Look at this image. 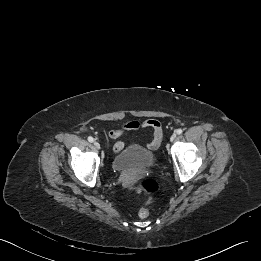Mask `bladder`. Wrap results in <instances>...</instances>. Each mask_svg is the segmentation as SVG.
<instances>
[{
    "label": "bladder",
    "mask_w": 261,
    "mask_h": 261,
    "mask_svg": "<svg viewBox=\"0 0 261 261\" xmlns=\"http://www.w3.org/2000/svg\"><path fill=\"white\" fill-rule=\"evenodd\" d=\"M154 153L139 144H131L120 150L112 160L115 172L139 170L152 165Z\"/></svg>",
    "instance_id": "bladder-1"
}]
</instances>
